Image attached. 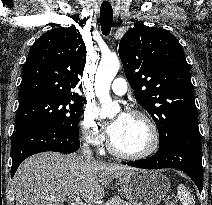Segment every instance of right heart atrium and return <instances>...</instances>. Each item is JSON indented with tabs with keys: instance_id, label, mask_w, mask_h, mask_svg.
<instances>
[{
	"instance_id": "1",
	"label": "right heart atrium",
	"mask_w": 212,
	"mask_h": 205,
	"mask_svg": "<svg viewBox=\"0 0 212 205\" xmlns=\"http://www.w3.org/2000/svg\"><path fill=\"white\" fill-rule=\"evenodd\" d=\"M79 128L81 139L85 144L92 147H99L102 144L104 137L100 132L96 115L91 109L83 112Z\"/></svg>"
}]
</instances>
